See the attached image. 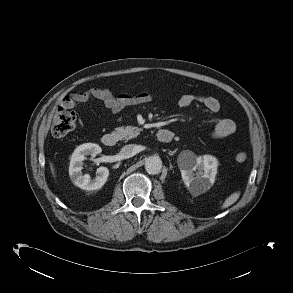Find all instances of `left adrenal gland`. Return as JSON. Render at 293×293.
<instances>
[{
  "mask_svg": "<svg viewBox=\"0 0 293 293\" xmlns=\"http://www.w3.org/2000/svg\"><path fill=\"white\" fill-rule=\"evenodd\" d=\"M176 151H177V149L174 150V151H170V152H169V155H174V154L176 153Z\"/></svg>",
  "mask_w": 293,
  "mask_h": 293,
  "instance_id": "1",
  "label": "left adrenal gland"
}]
</instances>
